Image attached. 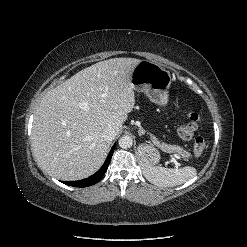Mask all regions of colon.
Segmentation results:
<instances>
[{
  "instance_id": "colon-1",
  "label": "colon",
  "mask_w": 247,
  "mask_h": 247,
  "mask_svg": "<svg viewBox=\"0 0 247 247\" xmlns=\"http://www.w3.org/2000/svg\"><path fill=\"white\" fill-rule=\"evenodd\" d=\"M198 128V115L194 112L189 113L177 127L178 134L184 139H191ZM206 149V141L203 137L198 136L194 139L193 152L200 156Z\"/></svg>"
}]
</instances>
